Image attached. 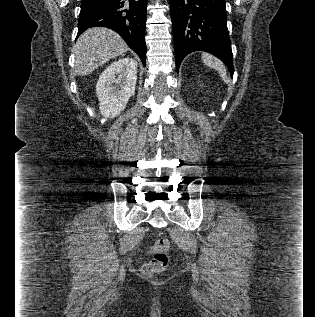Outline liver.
<instances>
[{"mask_svg":"<svg viewBox=\"0 0 315 317\" xmlns=\"http://www.w3.org/2000/svg\"><path fill=\"white\" fill-rule=\"evenodd\" d=\"M127 50L126 43L114 31L104 27L88 29L73 47L76 72L78 75H88Z\"/></svg>","mask_w":315,"mask_h":317,"instance_id":"liver-1","label":"liver"}]
</instances>
